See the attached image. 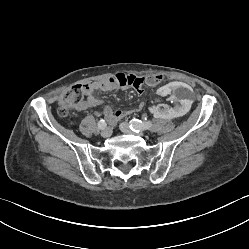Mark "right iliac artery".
<instances>
[{
  "label": "right iliac artery",
  "instance_id": "obj_1",
  "mask_svg": "<svg viewBox=\"0 0 249 249\" xmlns=\"http://www.w3.org/2000/svg\"><path fill=\"white\" fill-rule=\"evenodd\" d=\"M106 122L105 120L101 119L99 122H98V127L99 129H104L106 127Z\"/></svg>",
  "mask_w": 249,
  "mask_h": 249
}]
</instances>
